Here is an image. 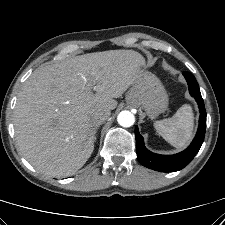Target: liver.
Listing matches in <instances>:
<instances>
[{"label":"liver","instance_id":"liver-1","mask_svg":"<svg viewBox=\"0 0 225 225\" xmlns=\"http://www.w3.org/2000/svg\"><path fill=\"white\" fill-rule=\"evenodd\" d=\"M144 66V57L134 50H109L36 69L23 84L14 111L23 156L46 175L74 174L94 149L93 109H115L114 98L132 86Z\"/></svg>","mask_w":225,"mask_h":225}]
</instances>
